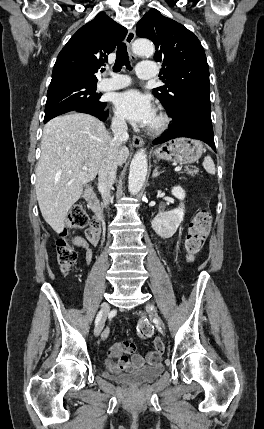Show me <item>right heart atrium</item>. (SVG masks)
Listing matches in <instances>:
<instances>
[{"mask_svg":"<svg viewBox=\"0 0 264 429\" xmlns=\"http://www.w3.org/2000/svg\"><path fill=\"white\" fill-rule=\"evenodd\" d=\"M113 124L117 128H122L124 126V121L120 117L115 116L113 118Z\"/></svg>","mask_w":264,"mask_h":429,"instance_id":"d8ad5b80","label":"right heart atrium"}]
</instances>
